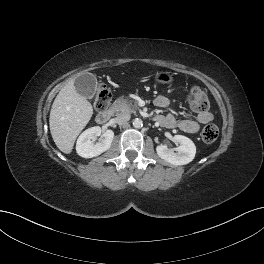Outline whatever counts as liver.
<instances>
[{
	"label": "liver",
	"instance_id": "6515ba94",
	"mask_svg": "<svg viewBox=\"0 0 264 264\" xmlns=\"http://www.w3.org/2000/svg\"><path fill=\"white\" fill-rule=\"evenodd\" d=\"M71 79L56 96L49 117V126L56 146L65 154L72 152L75 140L90 121L93 108L77 93Z\"/></svg>",
	"mask_w": 264,
	"mask_h": 264
}]
</instances>
